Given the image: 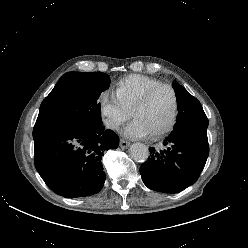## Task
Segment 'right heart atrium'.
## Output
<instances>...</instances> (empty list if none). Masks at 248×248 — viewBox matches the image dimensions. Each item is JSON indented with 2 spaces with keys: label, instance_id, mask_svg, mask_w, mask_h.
<instances>
[{
  "label": "right heart atrium",
  "instance_id": "obj_1",
  "mask_svg": "<svg viewBox=\"0 0 248 248\" xmlns=\"http://www.w3.org/2000/svg\"><path fill=\"white\" fill-rule=\"evenodd\" d=\"M97 104L104 124L111 130H118L130 116L129 111L121 105L113 93L102 92Z\"/></svg>",
  "mask_w": 248,
  "mask_h": 248
}]
</instances>
